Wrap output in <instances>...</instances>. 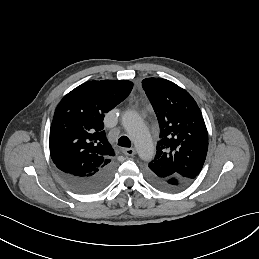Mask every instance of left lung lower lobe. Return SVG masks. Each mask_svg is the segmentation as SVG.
I'll list each match as a JSON object with an SVG mask.
<instances>
[{
    "label": "left lung lower lobe",
    "mask_w": 259,
    "mask_h": 259,
    "mask_svg": "<svg viewBox=\"0 0 259 259\" xmlns=\"http://www.w3.org/2000/svg\"><path fill=\"white\" fill-rule=\"evenodd\" d=\"M148 182L155 188L165 192H179L184 190L192 181H186L177 177L159 178L150 172H146Z\"/></svg>",
    "instance_id": "0a47b994"
}]
</instances>
